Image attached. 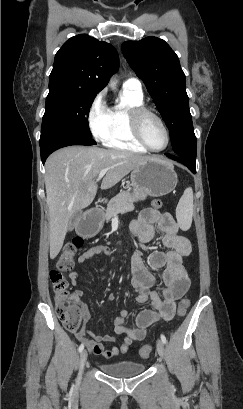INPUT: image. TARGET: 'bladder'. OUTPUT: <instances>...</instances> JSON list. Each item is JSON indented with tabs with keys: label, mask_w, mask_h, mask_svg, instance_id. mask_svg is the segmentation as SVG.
<instances>
[{
	"label": "bladder",
	"mask_w": 243,
	"mask_h": 409,
	"mask_svg": "<svg viewBox=\"0 0 243 409\" xmlns=\"http://www.w3.org/2000/svg\"><path fill=\"white\" fill-rule=\"evenodd\" d=\"M99 367L105 375L115 378L133 377L143 373L146 368L144 364L132 360L101 363Z\"/></svg>",
	"instance_id": "1"
}]
</instances>
